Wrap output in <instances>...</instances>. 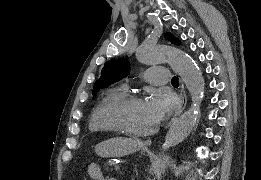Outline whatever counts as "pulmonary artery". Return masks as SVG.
I'll return each instance as SVG.
<instances>
[{
    "mask_svg": "<svg viewBox=\"0 0 261 180\" xmlns=\"http://www.w3.org/2000/svg\"><path fill=\"white\" fill-rule=\"evenodd\" d=\"M169 72L170 67H157V69H147L144 77L154 83H167V78L163 77H169Z\"/></svg>",
    "mask_w": 261,
    "mask_h": 180,
    "instance_id": "obj_1",
    "label": "pulmonary artery"
}]
</instances>
